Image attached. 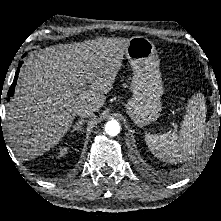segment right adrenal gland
<instances>
[{"label":"right adrenal gland","instance_id":"1","mask_svg":"<svg viewBox=\"0 0 221 221\" xmlns=\"http://www.w3.org/2000/svg\"><path fill=\"white\" fill-rule=\"evenodd\" d=\"M85 123L84 120H79L76 124L72 127L71 132L80 131L82 132V125Z\"/></svg>","mask_w":221,"mask_h":221}]
</instances>
